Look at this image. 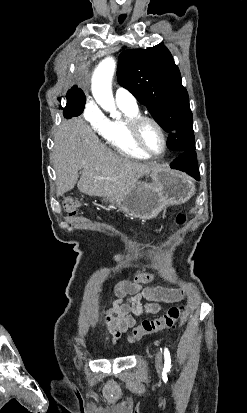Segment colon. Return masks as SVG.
Returning a JSON list of instances; mask_svg holds the SVG:
<instances>
[{
  "label": "colon",
  "mask_w": 247,
  "mask_h": 413,
  "mask_svg": "<svg viewBox=\"0 0 247 413\" xmlns=\"http://www.w3.org/2000/svg\"><path fill=\"white\" fill-rule=\"evenodd\" d=\"M63 208L70 217H75L79 208V202L74 199H66L63 202ZM175 221L179 223L180 227H183L186 216L184 214H177ZM160 275L161 272L158 268L146 262L141 269L134 272L133 277L140 285L145 286L149 283L150 278L156 280ZM183 310V306H174L159 318L143 320L139 326L133 329L129 341L136 342L148 334L173 329L180 320Z\"/></svg>",
  "instance_id": "5ec220e1"
}]
</instances>
